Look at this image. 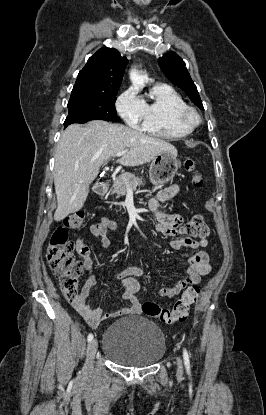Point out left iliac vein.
Segmentation results:
<instances>
[{
  "instance_id": "obj_1",
  "label": "left iliac vein",
  "mask_w": 266,
  "mask_h": 415,
  "mask_svg": "<svg viewBox=\"0 0 266 415\" xmlns=\"http://www.w3.org/2000/svg\"><path fill=\"white\" fill-rule=\"evenodd\" d=\"M177 366H178L179 372H181V370H182V361L179 357L177 358Z\"/></svg>"
}]
</instances>
